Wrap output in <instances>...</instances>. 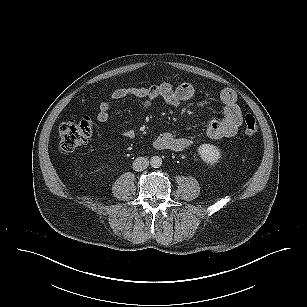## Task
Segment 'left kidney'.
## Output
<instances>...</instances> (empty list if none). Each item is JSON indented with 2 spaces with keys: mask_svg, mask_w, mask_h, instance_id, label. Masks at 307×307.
Returning <instances> with one entry per match:
<instances>
[{
  "mask_svg": "<svg viewBox=\"0 0 307 307\" xmlns=\"http://www.w3.org/2000/svg\"><path fill=\"white\" fill-rule=\"evenodd\" d=\"M198 153L201 159L208 164L216 163L220 158L219 149L211 144H202L198 148Z\"/></svg>",
  "mask_w": 307,
  "mask_h": 307,
  "instance_id": "1",
  "label": "left kidney"
}]
</instances>
